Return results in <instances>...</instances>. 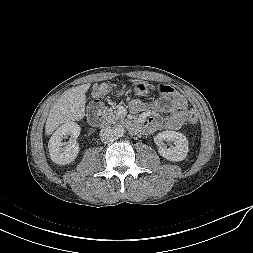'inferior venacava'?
Listing matches in <instances>:
<instances>
[{"mask_svg": "<svg viewBox=\"0 0 253 253\" xmlns=\"http://www.w3.org/2000/svg\"><path fill=\"white\" fill-rule=\"evenodd\" d=\"M99 135L101 141L104 143H108L114 140V131L109 126L102 128Z\"/></svg>", "mask_w": 253, "mask_h": 253, "instance_id": "inferior-vena-cava-1", "label": "inferior vena cava"}]
</instances>
